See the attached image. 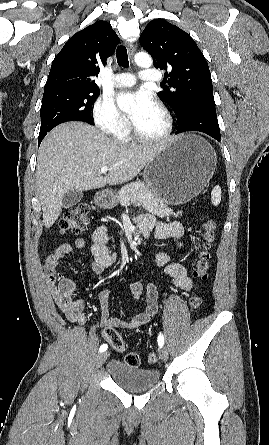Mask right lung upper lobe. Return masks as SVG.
I'll return each instance as SVG.
<instances>
[{
  "label": "right lung upper lobe",
  "instance_id": "obj_1",
  "mask_svg": "<svg viewBox=\"0 0 269 445\" xmlns=\"http://www.w3.org/2000/svg\"><path fill=\"white\" fill-rule=\"evenodd\" d=\"M120 40L106 21H97L74 34L54 58L44 92L59 89L99 90L94 76Z\"/></svg>",
  "mask_w": 269,
  "mask_h": 445
}]
</instances>
